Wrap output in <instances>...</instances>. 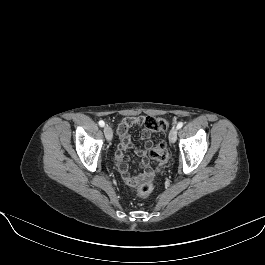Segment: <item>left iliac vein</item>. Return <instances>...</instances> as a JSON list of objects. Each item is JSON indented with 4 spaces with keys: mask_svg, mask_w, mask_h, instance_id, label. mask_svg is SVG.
Listing matches in <instances>:
<instances>
[{
    "mask_svg": "<svg viewBox=\"0 0 265 265\" xmlns=\"http://www.w3.org/2000/svg\"><path fill=\"white\" fill-rule=\"evenodd\" d=\"M177 128H172L170 133H169V141L171 143H175L176 139H177Z\"/></svg>",
    "mask_w": 265,
    "mask_h": 265,
    "instance_id": "obj_1",
    "label": "left iliac vein"
}]
</instances>
